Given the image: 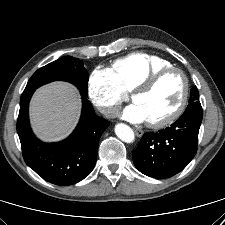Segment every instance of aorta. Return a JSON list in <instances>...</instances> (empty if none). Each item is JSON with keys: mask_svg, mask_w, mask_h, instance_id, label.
Wrapping results in <instances>:
<instances>
[{"mask_svg": "<svg viewBox=\"0 0 225 225\" xmlns=\"http://www.w3.org/2000/svg\"><path fill=\"white\" fill-rule=\"evenodd\" d=\"M115 133L123 142L132 143L134 141V132L128 125L122 123L117 124L115 126Z\"/></svg>", "mask_w": 225, "mask_h": 225, "instance_id": "obj_1", "label": "aorta"}]
</instances>
